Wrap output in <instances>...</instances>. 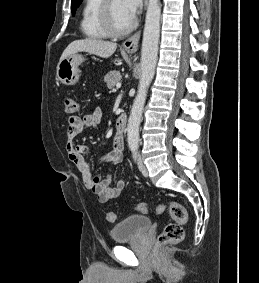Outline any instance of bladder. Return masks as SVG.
<instances>
[{
  "label": "bladder",
  "instance_id": "31cf9c89",
  "mask_svg": "<svg viewBox=\"0 0 259 283\" xmlns=\"http://www.w3.org/2000/svg\"><path fill=\"white\" fill-rule=\"evenodd\" d=\"M151 219L144 215H130L117 223L111 230L114 242H122L137 238L151 227Z\"/></svg>",
  "mask_w": 259,
  "mask_h": 283
}]
</instances>
